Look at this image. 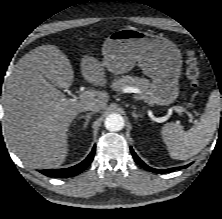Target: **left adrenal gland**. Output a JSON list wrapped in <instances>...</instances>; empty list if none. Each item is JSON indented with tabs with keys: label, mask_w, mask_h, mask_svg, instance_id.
<instances>
[{
	"label": "left adrenal gland",
	"mask_w": 222,
	"mask_h": 219,
	"mask_svg": "<svg viewBox=\"0 0 222 219\" xmlns=\"http://www.w3.org/2000/svg\"><path fill=\"white\" fill-rule=\"evenodd\" d=\"M135 109H136V108L134 107V110H133V112H132V116H133V118H134L135 120H137L139 117H142V115H141V114H137Z\"/></svg>",
	"instance_id": "left-adrenal-gland-1"
}]
</instances>
